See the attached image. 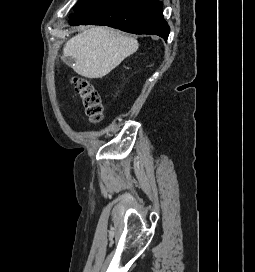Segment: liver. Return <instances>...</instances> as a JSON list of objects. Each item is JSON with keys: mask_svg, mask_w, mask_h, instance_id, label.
Returning <instances> with one entry per match:
<instances>
[{"mask_svg": "<svg viewBox=\"0 0 255 272\" xmlns=\"http://www.w3.org/2000/svg\"><path fill=\"white\" fill-rule=\"evenodd\" d=\"M138 49V41L114 29L95 26L71 38L63 48L74 61V71L86 78L106 76Z\"/></svg>", "mask_w": 255, "mask_h": 272, "instance_id": "6515ba94", "label": "liver"}]
</instances>
